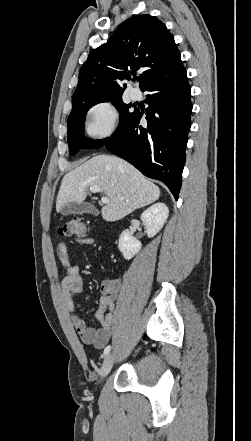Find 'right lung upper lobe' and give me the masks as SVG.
I'll return each mask as SVG.
<instances>
[{
	"instance_id": "cb5924a9",
	"label": "right lung upper lobe",
	"mask_w": 251,
	"mask_h": 441,
	"mask_svg": "<svg viewBox=\"0 0 251 441\" xmlns=\"http://www.w3.org/2000/svg\"><path fill=\"white\" fill-rule=\"evenodd\" d=\"M180 52L166 26L151 15L124 21L100 47L92 50L79 73L73 101L82 98L122 96L131 75L143 69L142 90L154 79L182 66Z\"/></svg>"
}]
</instances>
